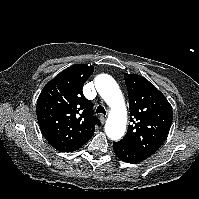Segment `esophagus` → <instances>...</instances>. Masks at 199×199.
Returning a JSON list of instances; mask_svg holds the SVG:
<instances>
[{
  "instance_id": "34e87169",
  "label": "esophagus",
  "mask_w": 199,
  "mask_h": 199,
  "mask_svg": "<svg viewBox=\"0 0 199 199\" xmlns=\"http://www.w3.org/2000/svg\"><path fill=\"white\" fill-rule=\"evenodd\" d=\"M100 121H101L102 124H104L105 121H106V117L103 116V115H101V116H100Z\"/></svg>"
}]
</instances>
